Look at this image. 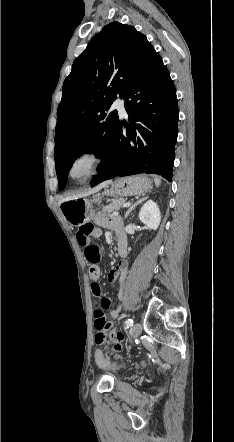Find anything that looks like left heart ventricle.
<instances>
[{
    "instance_id": "left-heart-ventricle-1",
    "label": "left heart ventricle",
    "mask_w": 234,
    "mask_h": 442,
    "mask_svg": "<svg viewBox=\"0 0 234 442\" xmlns=\"http://www.w3.org/2000/svg\"><path fill=\"white\" fill-rule=\"evenodd\" d=\"M90 170V160L86 157L75 162L72 168L74 178L80 179L88 174Z\"/></svg>"
}]
</instances>
